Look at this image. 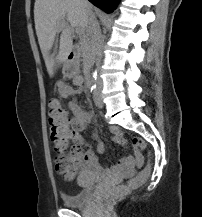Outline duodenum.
<instances>
[{
  "label": "duodenum",
  "mask_w": 202,
  "mask_h": 217,
  "mask_svg": "<svg viewBox=\"0 0 202 217\" xmlns=\"http://www.w3.org/2000/svg\"><path fill=\"white\" fill-rule=\"evenodd\" d=\"M67 60H68V64H67V67H66V71L69 74H74L75 70L78 67V53L76 51L75 46H72L70 48V50L68 51ZM91 82L92 81H91L90 77H87L86 83H87L88 86L90 85Z\"/></svg>",
  "instance_id": "1"
}]
</instances>
